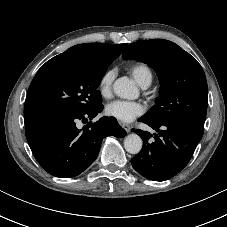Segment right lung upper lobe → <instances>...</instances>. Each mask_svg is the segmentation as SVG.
I'll list each match as a JSON object with an SVG mask.
<instances>
[{
    "instance_id": "obj_1",
    "label": "right lung upper lobe",
    "mask_w": 227,
    "mask_h": 227,
    "mask_svg": "<svg viewBox=\"0 0 227 227\" xmlns=\"http://www.w3.org/2000/svg\"><path fill=\"white\" fill-rule=\"evenodd\" d=\"M127 44H105V43H87L73 46L64 53L55 56L52 59H75L92 64H101L107 61L112 56H119ZM38 116L32 114L28 105V97L26 98L24 107L25 126L35 122Z\"/></svg>"
}]
</instances>
